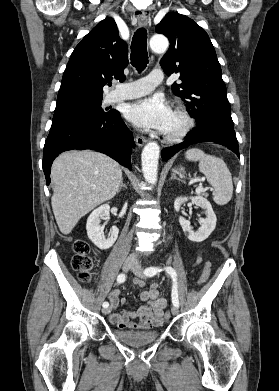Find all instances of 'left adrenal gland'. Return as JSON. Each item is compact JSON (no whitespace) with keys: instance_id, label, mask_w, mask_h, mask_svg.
Returning a JSON list of instances; mask_svg holds the SVG:
<instances>
[{"instance_id":"left-adrenal-gland-1","label":"left adrenal gland","mask_w":279,"mask_h":391,"mask_svg":"<svg viewBox=\"0 0 279 391\" xmlns=\"http://www.w3.org/2000/svg\"><path fill=\"white\" fill-rule=\"evenodd\" d=\"M173 179L178 180V181H182L181 179L176 177L175 173H173L172 176H171V180H173Z\"/></svg>"}]
</instances>
